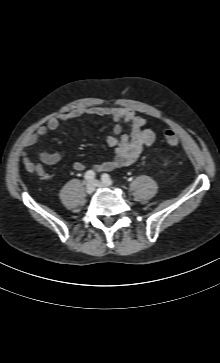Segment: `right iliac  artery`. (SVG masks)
<instances>
[{
  "mask_svg": "<svg viewBox=\"0 0 220 363\" xmlns=\"http://www.w3.org/2000/svg\"><path fill=\"white\" fill-rule=\"evenodd\" d=\"M95 177V172L92 170H89L85 173L84 178L86 180H92Z\"/></svg>",
  "mask_w": 220,
  "mask_h": 363,
  "instance_id": "obj_1",
  "label": "right iliac artery"
}]
</instances>
